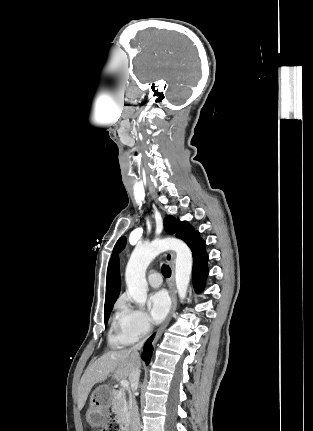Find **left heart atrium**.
<instances>
[{
    "mask_svg": "<svg viewBox=\"0 0 313 431\" xmlns=\"http://www.w3.org/2000/svg\"><path fill=\"white\" fill-rule=\"evenodd\" d=\"M169 298L164 291L151 294L148 298V309L153 323H160L169 311Z\"/></svg>",
    "mask_w": 313,
    "mask_h": 431,
    "instance_id": "1",
    "label": "left heart atrium"
}]
</instances>
